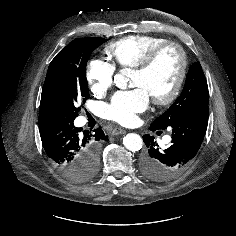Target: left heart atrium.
<instances>
[{
  "instance_id": "1",
  "label": "left heart atrium",
  "mask_w": 236,
  "mask_h": 236,
  "mask_svg": "<svg viewBox=\"0 0 236 236\" xmlns=\"http://www.w3.org/2000/svg\"><path fill=\"white\" fill-rule=\"evenodd\" d=\"M149 101V93L142 87L121 91L113 96L105 115L112 121L129 125L135 122L137 114L148 108Z\"/></svg>"
}]
</instances>
